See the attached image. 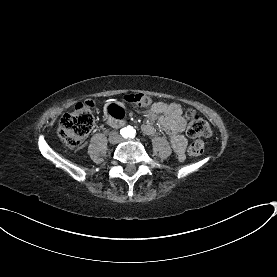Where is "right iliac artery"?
I'll return each instance as SVG.
<instances>
[{
    "label": "right iliac artery",
    "instance_id": "right-iliac-artery-1",
    "mask_svg": "<svg viewBox=\"0 0 277 277\" xmlns=\"http://www.w3.org/2000/svg\"><path fill=\"white\" fill-rule=\"evenodd\" d=\"M120 133H121V135L123 136V137H126L127 136V134H128V131H127V129H121L120 130Z\"/></svg>",
    "mask_w": 277,
    "mask_h": 277
}]
</instances>
